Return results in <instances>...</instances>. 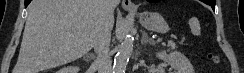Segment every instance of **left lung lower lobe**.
Returning <instances> with one entry per match:
<instances>
[{"mask_svg": "<svg viewBox=\"0 0 244 73\" xmlns=\"http://www.w3.org/2000/svg\"><path fill=\"white\" fill-rule=\"evenodd\" d=\"M148 2H154V1H157V0H147ZM204 3L208 4V5H211L213 9H215V3L216 1L215 0H202Z\"/></svg>", "mask_w": 244, "mask_h": 73, "instance_id": "left-lung-lower-lobe-1", "label": "left lung lower lobe"}]
</instances>
